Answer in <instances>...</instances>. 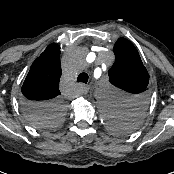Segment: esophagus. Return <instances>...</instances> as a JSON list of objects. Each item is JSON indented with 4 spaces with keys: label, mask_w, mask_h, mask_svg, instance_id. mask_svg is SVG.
Wrapping results in <instances>:
<instances>
[{
    "label": "esophagus",
    "mask_w": 174,
    "mask_h": 174,
    "mask_svg": "<svg viewBox=\"0 0 174 174\" xmlns=\"http://www.w3.org/2000/svg\"><path fill=\"white\" fill-rule=\"evenodd\" d=\"M89 89H90V87L88 85H83L82 86V92L85 93V94L89 91Z\"/></svg>",
    "instance_id": "34e87169"
}]
</instances>
